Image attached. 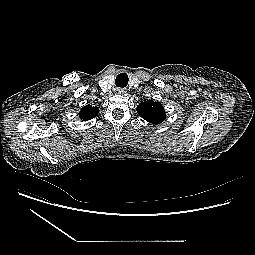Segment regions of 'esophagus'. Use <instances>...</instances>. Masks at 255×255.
Masks as SVG:
<instances>
[{
    "instance_id": "obj_1",
    "label": "esophagus",
    "mask_w": 255,
    "mask_h": 255,
    "mask_svg": "<svg viewBox=\"0 0 255 255\" xmlns=\"http://www.w3.org/2000/svg\"><path fill=\"white\" fill-rule=\"evenodd\" d=\"M115 92H116L117 94H122V93L124 92V90L121 89V88H117V89L115 90Z\"/></svg>"
}]
</instances>
